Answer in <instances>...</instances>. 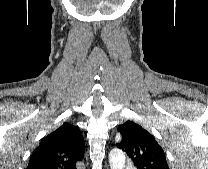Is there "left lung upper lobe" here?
Instances as JSON below:
<instances>
[{
    "mask_svg": "<svg viewBox=\"0 0 208 169\" xmlns=\"http://www.w3.org/2000/svg\"><path fill=\"white\" fill-rule=\"evenodd\" d=\"M122 140L117 147L124 150L138 169H169L163 149L140 125L126 121L118 126Z\"/></svg>",
    "mask_w": 208,
    "mask_h": 169,
    "instance_id": "1",
    "label": "left lung upper lobe"
}]
</instances>
